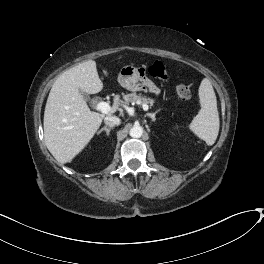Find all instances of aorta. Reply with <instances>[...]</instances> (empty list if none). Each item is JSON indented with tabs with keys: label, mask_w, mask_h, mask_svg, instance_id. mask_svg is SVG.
Listing matches in <instances>:
<instances>
[{
	"label": "aorta",
	"mask_w": 264,
	"mask_h": 264,
	"mask_svg": "<svg viewBox=\"0 0 264 264\" xmlns=\"http://www.w3.org/2000/svg\"><path fill=\"white\" fill-rule=\"evenodd\" d=\"M142 134L143 128L140 125H134L129 131V135L133 138H140Z\"/></svg>",
	"instance_id": "obj_1"
}]
</instances>
